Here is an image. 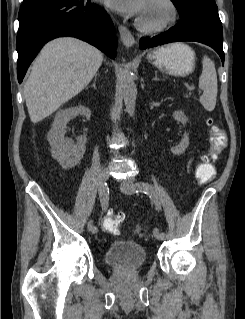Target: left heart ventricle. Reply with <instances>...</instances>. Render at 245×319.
<instances>
[{
    "mask_svg": "<svg viewBox=\"0 0 245 319\" xmlns=\"http://www.w3.org/2000/svg\"><path fill=\"white\" fill-rule=\"evenodd\" d=\"M167 16L166 7L157 0H153L152 2L147 1L140 18L148 23H158L165 20Z\"/></svg>",
    "mask_w": 245,
    "mask_h": 319,
    "instance_id": "b2bd125f",
    "label": "left heart ventricle"
}]
</instances>
